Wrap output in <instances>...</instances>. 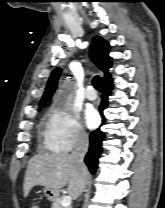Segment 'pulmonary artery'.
<instances>
[{"instance_id": "obj_1", "label": "pulmonary artery", "mask_w": 165, "mask_h": 208, "mask_svg": "<svg viewBox=\"0 0 165 208\" xmlns=\"http://www.w3.org/2000/svg\"><path fill=\"white\" fill-rule=\"evenodd\" d=\"M85 97L88 100L93 101L96 99L97 95L91 87H88L87 90L85 91Z\"/></svg>"}]
</instances>
